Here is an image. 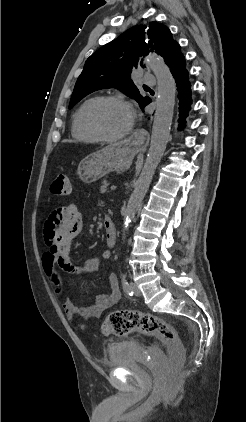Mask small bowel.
I'll use <instances>...</instances> for the list:
<instances>
[{"instance_id":"obj_1","label":"small bowel","mask_w":246,"mask_h":422,"mask_svg":"<svg viewBox=\"0 0 246 422\" xmlns=\"http://www.w3.org/2000/svg\"><path fill=\"white\" fill-rule=\"evenodd\" d=\"M83 215L80 209L74 204H68L53 210L48 216L44 225V237L47 243V251L43 256V267L52 284L54 274L59 270L67 272L91 273L98 269L100 258L95 257L86 262L82 268L74 265L70 254V245L77 235L83 230ZM111 254L103 252L101 259L109 260ZM110 292H103L96 295L91 305L78 308L70 299L66 298L63 308L69 318L76 315L87 318H99L109 308L116 305L121 299L118 278L111 274L108 278Z\"/></svg>"}]
</instances>
